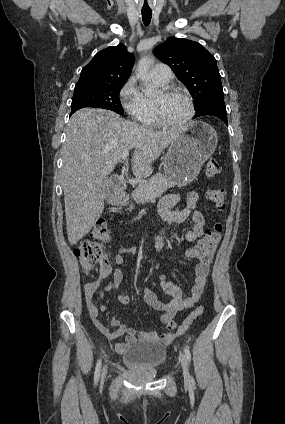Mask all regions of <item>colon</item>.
Here are the masks:
<instances>
[{"mask_svg": "<svg viewBox=\"0 0 285 424\" xmlns=\"http://www.w3.org/2000/svg\"><path fill=\"white\" fill-rule=\"evenodd\" d=\"M220 162L212 157L206 163L205 173L208 177L217 176L221 172ZM207 198L212 206L222 212L226 207V192L222 189H211L206 192ZM222 225L215 223L205 234V237L194 248L195 258L210 260L214 256L221 240ZM110 239V228L105 220L98 221L89 240L83 241L76 249L75 255L79 259L84 271H91L98 264L108 263V253L103 243ZM203 307L199 306L193 310L187 319L179 326L178 331L184 333L193 322L203 313Z\"/></svg>", "mask_w": 285, "mask_h": 424, "instance_id": "obj_1", "label": "colon"}]
</instances>
